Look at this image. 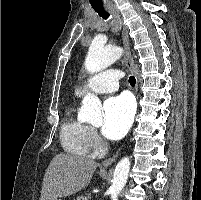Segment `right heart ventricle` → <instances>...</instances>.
Segmentation results:
<instances>
[{
	"label": "right heart ventricle",
	"instance_id": "1",
	"mask_svg": "<svg viewBox=\"0 0 201 200\" xmlns=\"http://www.w3.org/2000/svg\"><path fill=\"white\" fill-rule=\"evenodd\" d=\"M88 126L74 113V105L70 104L65 110L60 128V139L63 148L75 155L89 153Z\"/></svg>",
	"mask_w": 201,
	"mask_h": 200
}]
</instances>
